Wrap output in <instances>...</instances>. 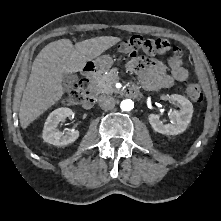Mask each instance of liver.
Returning a JSON list of instances; mask_svg holds the SVG:
<instances>
[{
  "instance_id": "1",
  "label": "liver",
  "mask_w": 221,
  "mask_h": 221,
  "mask_svg": "<svg viewBox=\"0 0 221 221\" xmlns=\"http://www.w3.org/2000/svg\"><path fill=\"white\" fill-rule=\"evenodd\" d=\"M113 36H100L72 44L60 39L46 45L35 58L32 71L23 92L19 121L27 128L35 119L53 106L64 94L65 73L81 71L88 61L100 56L118 43Z\"/></svg>"
}]
</instances>
